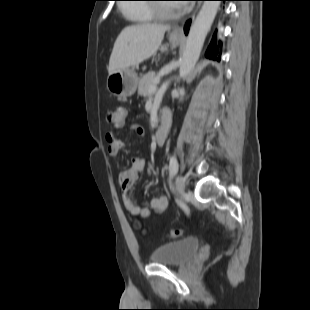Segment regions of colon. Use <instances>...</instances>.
Returning a JSON list of instances; mask_svg holds the SVG:
<instances>
[{"mask_svg": "<svg viewBox=\"0 0 310 310\" xmlns=\"http://www.w3.org/2000/svg\"><path fill=\"white\" fill-rule=\"evenodd\" d=\"M126 107L123 105H118L106 112V121L116 128H122L125 124L126 119ZM183 234L180 229H173L168 231L167 237L171 239H176L181 237Z\"/></svg>", "mask_w": 310, "mask_h": 310, "instance_id": "1", "label": "colon"}]
</instances>
